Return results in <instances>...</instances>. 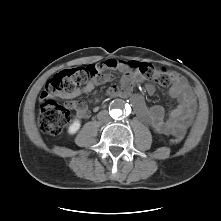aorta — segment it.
Returning a JSON list of instances; mask_svg holds the SVG:
<instances>
[{"label":"aorta","mask_w":221,"mask_h":221,"mask_svg":"<svg viewBox=\"0 0 221 221\" xmlns=\"http://www.w3.org/2000/svg\"><path fill=\"white\" fill-rule=\"evenodd\" d=\"M111 115L114 119H120L123 116V109L121 107L117 109H113L111 111Z\"/></svg>","instance_id":"obj_1"}]
</instances>
